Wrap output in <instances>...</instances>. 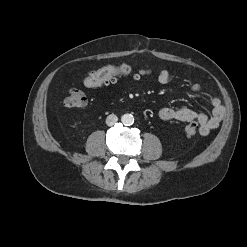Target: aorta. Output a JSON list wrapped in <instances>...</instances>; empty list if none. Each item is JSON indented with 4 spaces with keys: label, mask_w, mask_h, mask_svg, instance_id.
Instances as JSON below:
<instances>
[{
    "label": "aorta",
    "mask_w": 247,
    "mask_h": 247,
    "mask_svg": "<svg viewBox=\"0 0 247 247\" xmlns=\"http://www.w3.org/2000/svg\"><path fill=\"white\" fill-rule=\"evenodd\" d=\"M121 121L124 125H132L134 123V117L131 114H124L121 117Z\"/></svg>",
    "instance_id": "obj_1"
}]
</instances>
